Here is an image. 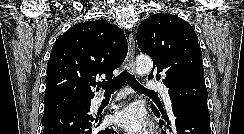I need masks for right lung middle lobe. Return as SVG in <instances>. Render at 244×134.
I'll use <instances>...</instances> for the list:
<instances>
[{
    "instance_id": "right-lung-middle-lobe-1",
    "label": "right lung middle lobe",
    "mask_w": 244,
    "mask_h": 134,
    "mask_svg": "<svg viewBox=\"0 0 244 134\" xmlns=\"http://www.w3.org/2000/svg\"><path fill=\"white\" fill-rule=\"evenodd\" d=\"M45 109L43 119L48 115L59 112L68 108L74 107H87L91 105V100H84L74 97H59L51 100L44 101ZM42 119V120H43Z\"/></svg>"
}]
</instances>
